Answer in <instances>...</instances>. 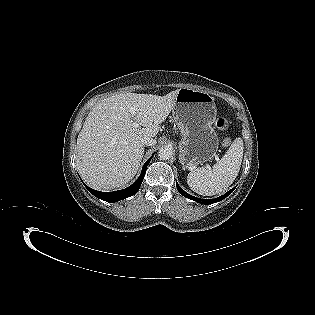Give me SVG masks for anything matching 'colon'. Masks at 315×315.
Wrapping results in <instances>:
<instances>
[{"instance_id":"colon-1","label":"colon","mask_w":315,"mask_h":315,"mask_svg":"<svg viewBox=\"0 0 315 315\" xmlns=\"http://www.w3.org/2000/svg\"><path fill=\"white\" fill-rule=\"evenodd\" d=\"M215 126L219 130H226L229 126L228 120L224 117H218L215 121ZM222 146L229 147L231 145V140L229 138H224L221 141Z\"/></svg>"}]
</instances>
